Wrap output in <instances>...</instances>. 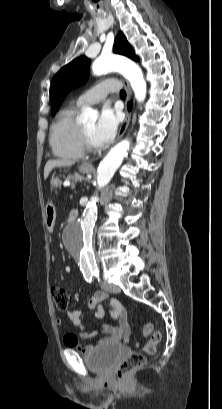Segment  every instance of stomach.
Wrapping results in <instances>:
<instances>
[{"instance_id": "1", "label": "stomach", "mask_w": 222, "mask_h": 409, "mask_svg": "<svg viewBox=\"0 0 222 409\" xmlns=\"http://www.w3.org/2000/svg\"><path fill=\"white\" fill-rule=\"evenodd\" d=\"M79 170L82 173H90L92 168L81 165L79 167ZM60 185H61V180L59 178L53 177L51 179V187L52 188H56V187H58ZM55 220H56V208L51 202H49L46 205V226H47L48 230L53 229L54 224H55Z\"/></svg>"}]
</instances>
